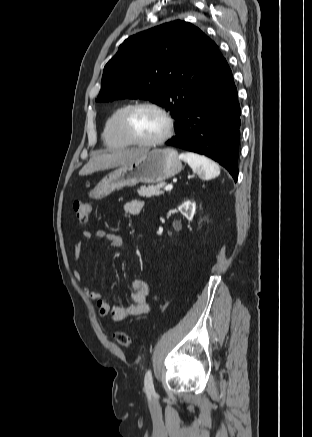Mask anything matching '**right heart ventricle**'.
Listing matches in <instances>:
<instances>
[{
	"mask_svg": "<svg viewBox=\"0 0 312 437\" xmlns=\"http://www.w3.org/2000/svg\"><path fill=\"white\" fill-rule=\"evenodd\" d=\"M129 106L124 104L117 107L105 121L102 136L106 146L109 148L123 149L131 145L123 136L119 127L121 115Z\"/></svg>",
	"mask_w": 312,
	"mask_h": 437,
	"instance_id": "right-heart-ventricle-1",
	"label": "right heart ventricle"
}]
</instances>
